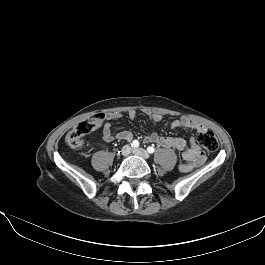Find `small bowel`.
<instances>
[{"label":"small bowel","mask_w":265,"mask_h":265,"mask_svg":"<svg viewBox=\"0 0 265 265\" xmlns=\"http://www.w3.org/2000/svg\"><path fill=\"white\" fill-rule=\"evenodd\" d=\"M143 112L148 116L149 120L153 124H157L163 119L160 113L151 111L149 109H144ZM135 116V110L128 111L129 119H134ZM106 117L108 120H114L120 118L121 114L118 112H111L108 113ZM170 127L172 129H183L186 131L194 130L198 133L206 131V126L203 123L188 117H182L179 120H174L170 124ZM102 137L106 142H111L114 139L131 141L133 139V134L130 131H120L116 134H113L111 125L107 122L103 125ZM144 140L145 142L157 144L160 147L174 149L181 152L184 162L179 165V169L182 172H190L195 167L203 164L205 161V154L201 150L197 139L193 136L190 137L188 146L186 140L181 137L162 136L157 133L147 135Z\"/></svg>","instance_id":"1"}]
</instances>
